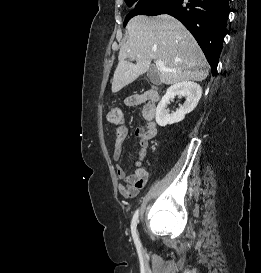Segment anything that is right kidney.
Masks as SVG:
<instances>
[{"mask_svg": "<svg viewBox=\"0 0 261 273\" xmlns=\"http://www.w3.org/2000/svg\"><path fill=\"white\" fill-rule=\"evenodd\" d=\"M176 95L186 97V101L183 105H180L176 112L170 114L169 110L166 109L167 104ZM201 95V86L192 81H183L170 86L156 108V123L164 127L182 121L186 114L195 109Z\"/></svg>", "mask_w": 261, "mask_h": 273, "instance_id": "ca27d5eb", "label": "right kidney"}]
</instances>
